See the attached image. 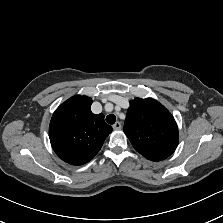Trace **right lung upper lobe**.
I'll return each mask as SVG.
<instances>
[{
	"mask_svg": "<svg viewBox=\"0 0 223 223\" xmlns=\"http://www.w3.org/2000/svg\"><path fill=\"white\" fill-rule=\"evenodd\" d=\"M91 104L89 97L73 96L61 104L51 118L49 138L52 148L69 164L89 162L112 132L103 114L91 112Z\"/></svg>",
	"mask_w": 223,
	"mask_h": 223,
	"instance_id": "obj_1",
	"label": "right lung upper lobe"
}]
</instances>
